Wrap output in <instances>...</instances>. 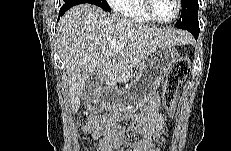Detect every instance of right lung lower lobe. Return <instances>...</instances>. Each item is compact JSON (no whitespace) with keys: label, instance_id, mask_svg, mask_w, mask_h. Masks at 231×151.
Here are the masks:
<instances>
[{"label":"right lung lower lobe","instance_id":"1","mask_svg":"<svg viewBox=\"0 0 231 151\" xmlns=\"http://www.w3.org/2000/svg\"><path fill=\"white\" fill-rule=\"evenodd\" d=\"M79 3L78 0H68L65 1V3L61 6L60 10H59V18L60 16H62L70 7L77 5ZM58 18V19H59Z\"/></svg>","mask_w":231,"mask_h":151}]
</instances>
